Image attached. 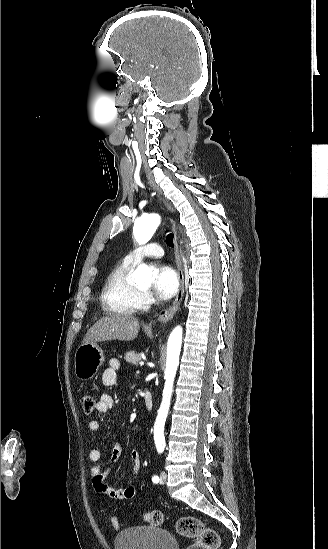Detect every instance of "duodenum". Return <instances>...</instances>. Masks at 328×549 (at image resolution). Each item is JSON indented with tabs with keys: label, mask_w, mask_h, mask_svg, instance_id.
<instances>
[{
	"label": "duodenum",
	"mask_w": 328,
	"mask_h": 549,
	"mask_svg": "<svg viewBox=\"0 0 328 549\" xmlns=\"http://www.w3.org/2000/svg\"><path fill=\"white\" fill-rule=\"evenodd\" d=\"M143 398L145 402V406L147 409L151 410L153 408V397L150 391H145L143 393Z\"/></svg>",
	"instance_id": "410a0bca"
}]
</instances>
